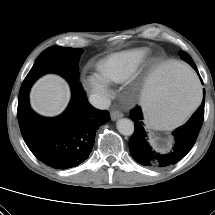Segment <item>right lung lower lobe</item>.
Wrapping results in <instances>:
<instances>
[{"instance_id":"right-lung-lower-lobe-1","label":"right lung lower lobe","mask_w":215,"mask_h":215,"mask_svg":"<svg viewBox=\"0 0 215 215\" xmlns=\"http://www.w3.org/2000/svg\"><path fill=\"white\" fill-rule=\"evenodd\" d=\"M72 99L66 111L55 118L36 114L29 106L18 121L25 143L44 164L67 169L84 162L94 145L97 129L110 120L108 111L88 103L79 80L69 82Z\"/></svg>"}]
</instances>
